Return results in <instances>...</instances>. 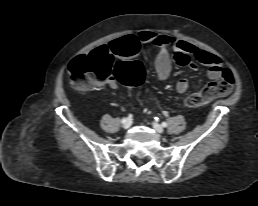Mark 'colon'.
<instances>
[{"label":"colon","instance_id":"obj_1","mask_svg":"<svg viewBox=\"0 0 258 206\" xmlns=\"http://www.w3.org/2000/svg\"><path fill=\"white\" fill-rule=\"evenodd\" d=\"M144 75L143 67L138 61H119L114 64L112 56L103 50H94L89 54L80 55L69 65V77L72 86L85 91L111 77L126 86H134L141 82ZM234 77L227 68L222 76L201 91L189 95L185 104L189 107L202 106L215 98L231 93Z\"/></svg>","mask_w":258,"mask_h":206}]
</instances>
